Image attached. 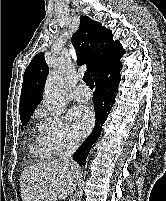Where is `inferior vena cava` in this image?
<instances>
[{
  "mask_svg": "<svg viewBox=\"0 0 166 201\" xmlns=\"http://www.w3.org/2000/svg\"><path fill=\"white\" fill-rule=\"evenodd\" d=\"M78 148H79V142L78 141H70L67 144V149L64 153L63 161L69 162L70 160H72V155L76 152V150ZM71 201H74V200H71Z\"/></svg>",
  "mask_w": 166,
  "mask_h": 201,
  "instance_id": "602c4592",
  "label": "inferior vena cava"
}]
</instances>
